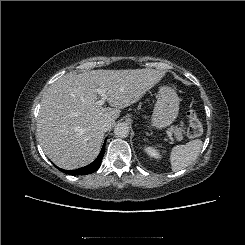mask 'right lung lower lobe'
<instances>
[{"mask_svg":"<svg viewBox=\"0 0 245 245\" xmlns=\"http://www.w3.org/2000/svg\"><path fill=\"white\" fill-rule=\"evenodd\" d=\"M105 143H106V141L104 142V145L102 147L100 154L91 164H89L85 167L76 169V170H68V171L67 170H61V169L60 170L64 173H67L70 175H87V174H91V173L97 171L101 165V161H102V158L104 155Z\"/></svg>","mask_w":245,"mask_h":245,"instance_id":"right-lung-lower-lobe-1","label":"right lung lower lobe"}]
</instances>
